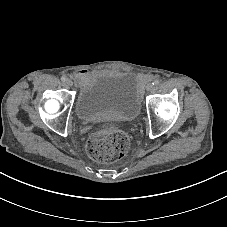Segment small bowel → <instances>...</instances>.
I'll return each instance as SVG.
<instances>
[{
    "label": "small bowel",
    "instance_id": "c3829d8e",
    "mask_svg": "<svg viewBox=\"0 0 227 227\" xmlns=\"http://www.w3.org/2000/svg\"><path fill=\"white\" fill-rule=\"evenodd\" d=\"M76 78L78 79V81H80L81 83H84L88 80L89 78V72L86 70H82L76 73ZM139 80L144 82L146 81V77L144 76H140Z\"/></svg>",
    "mask_w": 227,
    "mask_h": 227
}]
</instances>
